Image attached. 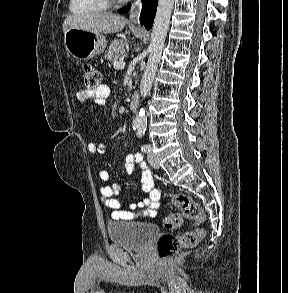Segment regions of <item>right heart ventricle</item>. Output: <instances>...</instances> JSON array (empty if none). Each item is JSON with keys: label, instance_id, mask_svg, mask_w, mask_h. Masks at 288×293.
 <instances>
[{"label": "right heart ventricle", "instance_id": "e07e8e85", "mask_svg": "<svg viewBox=\"0 0 288 293\" xmlns=\"http://www.w3.org/2000/svg\"><path fill=\"white\" fill-rule=\"evenodd\" d=\"M107 0H70L69 10L74 14L100 12L108 9Z\"/></svg>", "mask_w": 288, "mask_h": 293}]
</instances>
